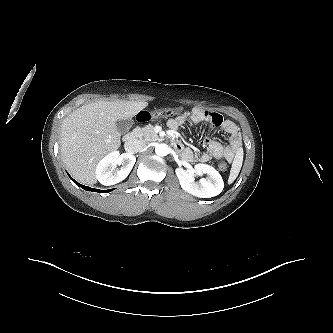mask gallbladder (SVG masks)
I'll use <instances>...</instances> for the list:
<instances>
[{"mask_svg": "<svg viewBox=\"0 0 333 333\" xmlns=\"http://www.w3.org/2000/svg\"><path fill=\"white\" fill-rule=\"evenodd\" d=\"M118 132L125 134L133 125V120L131 119H119L115 122Z\"/></svg>", "mask_w": 333, "mask_h": 333, "instance_id": "obj_1", "label": "gallbladder"}]
</instances>
